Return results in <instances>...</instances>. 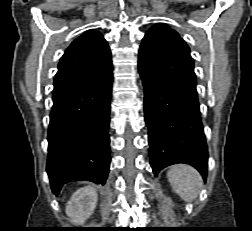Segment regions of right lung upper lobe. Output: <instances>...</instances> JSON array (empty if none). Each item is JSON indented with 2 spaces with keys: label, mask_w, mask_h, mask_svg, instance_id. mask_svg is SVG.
I'll list each match as a JSON object with an SVG mask.
<instances>
[{
  "label": "right lung upper lobe",
  "mask_w": 252,
  "mask_h": 231,
  "mask_svg": "<svg viewBox=\"0 0 252 231\" xmlns=\"http://www.w3.org/2000/svg\"><path fill=\"white\" fill-rule=\"evenodd\" d=\"M110 48L97 30H88L66 49L54 79L53 99L112 72Z\"/></svg>",
  "instance_id": "right-lung-upper-lobe-1"
}]
</instances>
